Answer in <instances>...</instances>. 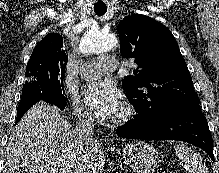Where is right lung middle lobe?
Masks as SVG:
<instances>
[{
    "label": "right lung middle lobe",
    "mask_w": 219,
    "mask_h": 173,
    "mask_svg": "<svg viewBox=\"0 0 219 173\" xmlns=\"http://www.w3.org/2000/svg\"><path fill=\"white\" fill-rule=\"evenodd\" d=\"M64 71V68L56 64L44 65L28 61L22 95L33 92L42 93L56 103L65 105Z\"/></svg>",
    "instance_id": "1"
}]
</instances>
